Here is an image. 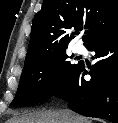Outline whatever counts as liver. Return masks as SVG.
Masks as SVG:
<instances>
[{
  "mask_svg": "<svg viewBox=\"0 0 118 123\" xmlns=\"http://www.w3.org/2000/svg\"><path fill=\"white\" fill-rule=\"evenodd\" d=\"M7 123H91L87 118L73 113L71 110H49L29 112L20 117H14Z\"/></svg>",
  "mask_w": 118,
  "mask_h": 123,
  "instance_id": "liver-1",
  "label": "liver"
}]
</instances>
